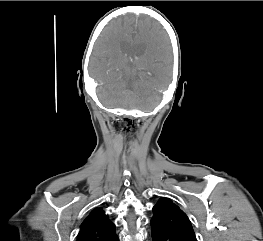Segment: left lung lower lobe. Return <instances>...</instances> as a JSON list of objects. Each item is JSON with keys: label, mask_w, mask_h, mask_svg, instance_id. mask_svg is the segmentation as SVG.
Instances as JSON below:
<instances>
[{"label": "left lung lower lobe", "mask_w": 263, "mask_h": 241, "mask_svg": "<svg viewBox=\"0 0 263 241\" xmlns=\"http://www.w3.org/2000/svg\"><path fill=\"white\" fill-rule=\"evenodd\" d=\"M153 241H189L186 237L177 234L156 221H150Z\"/></svg>", "instance_id": "1"}]
</instances>
